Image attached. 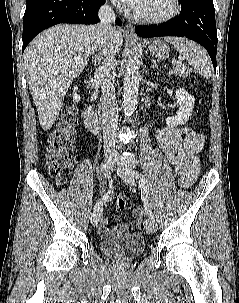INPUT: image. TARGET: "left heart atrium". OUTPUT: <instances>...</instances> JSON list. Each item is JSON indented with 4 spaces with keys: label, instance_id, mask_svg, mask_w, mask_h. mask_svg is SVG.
<instances>
[{
    "label": "left heart atrium",
    "instance_id": "39dd6f15",
    "mask_svg": "<svg viewBox=\"0 0 239 303\" xmlns=\"http://www.w3.org/2000/svg\"><path fill=\"white\" fill-rule=\"evenodd\" d=\"M122 2L128 4L131 8L136 10L138 12L139 9H141L146 0H121Z\"/></svg>",
    "mask_w": 239,
    "mask_h": 303
}]
</instances>
